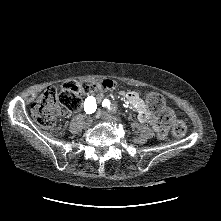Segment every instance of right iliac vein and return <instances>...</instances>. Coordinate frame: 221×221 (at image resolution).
Here are the masks:
<instances>
[{
	"label": "right iliac vein",
	"mask_w": 221,
	"mask_h": 221,
	"mask_svg": "<svg viewBox=\"0 0 221 221\" xmlns=\"http://www.w3.org/2000/svg\"><path fill=\"white\" fill-rule=\"evenodd\" d=\"M100 116H101L100 114H97V117H100ZM87 124L89 125V124H90V122H88Z\"/></svg>",
	"instance_id": "obj_1"
}]
</instances>
